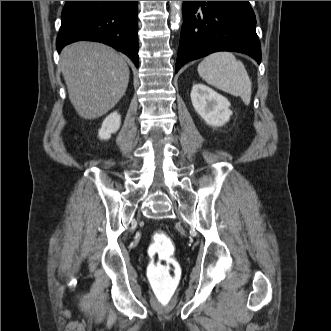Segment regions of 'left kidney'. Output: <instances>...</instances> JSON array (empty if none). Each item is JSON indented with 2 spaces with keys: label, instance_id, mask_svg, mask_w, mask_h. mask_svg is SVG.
I'll return each mask as SVG.
<instances>
[{
  "label": "left kidney",
  "instance_id": "5707ae66",
  "mask_svg": "<svg viewBox=\"0 0 331 331\" xmlns=\"http://www.w3.org/2000/svg\"><path fill=\"white\" fill-rule=\"evenodd\" d=\"M195 111L210 126H223L232 115L230 102L204 84H195L191 91Z\"/></svg>",
  "mask_w": 331,
  "mask_h": 331
}]
</instances>
